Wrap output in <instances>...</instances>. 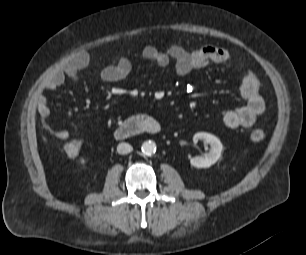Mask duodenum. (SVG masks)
I'll list each match as a JSON object with an SVG mask.
<instances>
[{
	"instance_id": "410a0bca",
	"label": "duodenum",
	"mask_w": 306,
	"mask_h": 255,
	"mask_svg": "<svg viewBox=\"0 0 306 255\" xmlns=\"http://www.w3.org/2000/svg\"><path fill=\"white\" fill-rule=\"evenodd\" d=\"M160 131V123L155 118L139 115L119 125L114 131V137L118 140H125L140 134H158Z\"/></svg>"
}]
</instances>
